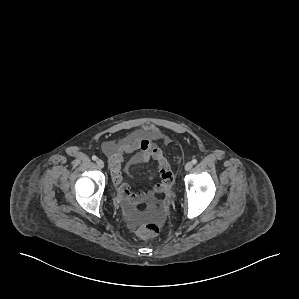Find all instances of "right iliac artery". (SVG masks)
Instances as JSON below:
<instances>
[{"instance_id":"obj_1","label":"right iliac artery","mask_w":299,"mask_h":299,"mask_svg":"<svg viewBox=\"0 0 299 299\" xmlns=\"http://www.w3.org/2000/svg\"><path fill=\"white\" fill-rule=\"evenodd\" d=\"M92 160H94V161L97 160V156L93 155Z\"/></svg>"}]
</instances>
